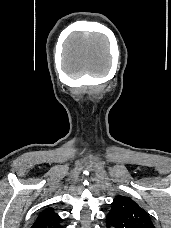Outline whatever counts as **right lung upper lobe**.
I'll return each instance as SVG.
<instances>
[{"instance_id": "1", "label": "right lung upper lobe", "mask_w": 171, "mask_h": 228, "mask_svg": "<svg viewBox=\"0 0 171 228\" xmlns=\"http://www.w3.org/2000/svg\"><path fill=\"white\" fill-rule=\"evenodd\" d=\"M60 217L53 211V209L43 210L31 228H61Z\"/></svg>"}]
</instances>
